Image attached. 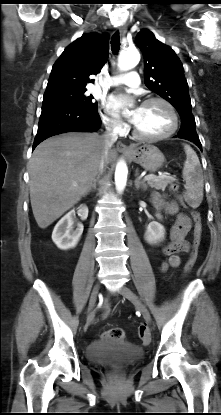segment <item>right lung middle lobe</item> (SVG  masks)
<instances>
[{
	"mask_svg": "<svg viewBox=\"0 0 221 415\" xmlns=\"http://www.w3.org/2000/svg\"><path fill=\"white\" fill-rule=\"evenodd\" d=\"M86 89L61 90L44 94L43 102H62L97 110V102H93V96L85 94Z\"/></svg>",
	"mask_w": 221,
	"mask_h": 415,
	"instance_id": "right-lung-middle-lobe-1",
	"label": "right lung middle lobe"
}]
</instances>
